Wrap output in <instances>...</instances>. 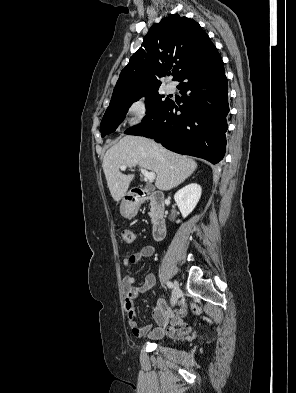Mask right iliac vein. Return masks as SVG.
<instances>
[{
    "label": "right iliac vein",
    "mask_w": 296,
    "mask_h": 393,
    "mask_svg": "<svg viewBox=\"0 0 296 393\" xmlns=\"http://www.w3.org/2000/svg\"><path fill=\"white\" fill-rule=\"evenodd\" d=\"M175 286H174V290H173V292H172V305H175L176 304V302H177V300H178V298H179V295H180V288H179V284H178V282L177 281H175Z\"/></svg>",
    "instance_id": "1"
}]
</instances>
